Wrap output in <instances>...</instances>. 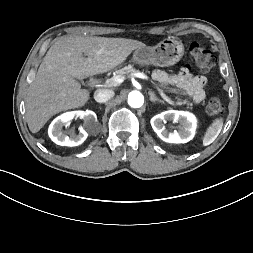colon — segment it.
I'll return each instance as SVG.
<instances>
[{
  "mask_svg": "<svg viewBox=\"0 0 253 253\" xmlns=\"http://www.w3.org/2000/svg\"><path fill=\"white\" fill-rule=\"evenodd\" d=\"M189 50L196 65L203 72H211L216 68L217 58L206 47L205 44L200 42H193L190 44ZM206 109L210 115H219L223 112L224 106L219 98L212 97L208 100Z\"/></svg>",
  "mask_w": 253,
  "mask_h": 253,
  "instance_id": "1",
  "label": "colon"
}]
</instances>
